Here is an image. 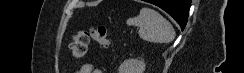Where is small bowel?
Returning a JSON list of instances; mask_svg holds the SVG:
<instances>
[{"label": "small bowel", "instance_id": "small-bowel-1", "mask_svg": "<svg viewBox=\"0 0 244 73\" xmlns=\"http://www.w3.org/2000/svg\"><path fill=\"white\" fill-rule=\"evenodd\" d=\"M77 73H102L99 69H96L92 64L86 63L81 66Z\"/></svg>", "mask_w": 244, "mask_h": 73}]
</instances>
